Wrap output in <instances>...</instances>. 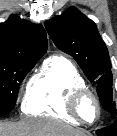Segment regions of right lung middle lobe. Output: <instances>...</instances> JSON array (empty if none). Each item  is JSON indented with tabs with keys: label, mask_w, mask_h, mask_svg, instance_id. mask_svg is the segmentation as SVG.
I'll list each match as a JSON object with an SVG mask.
<instances>
[{
	"label": "right lung middle lobe",
	"mask_w": 117,
	"mask_h": 136,
	"mask_svg": "<svg viewBox=\"0 0 117 136\" xmlns=\"http://www.w3.org/2000/svg\"><path fill=\"white\" fill-rule=\"evenodd\" d=\"M38 60L0 59V107H15L20 84Z\"/></svg>",
	"instance_id": "right-lung-middle-lobe-1"
}]
</instances>
